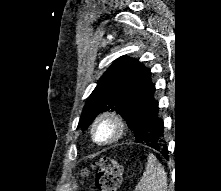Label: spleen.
Returning a JSON list of instances; mask_svg holds the SVG:
<instances>
[{
	"mask_svg": "<svg viewBox=\"0 0 221 191\" xmlns=\"http://www.w3.org/2000/svg\"><path fill=\"white\" fill-rule=\"evenodd\" d=\"M167 174L157 158L150 154L146 170L135 187V191H167Z\"/></svg>",
	"mask_w": 221,
	"mask_h": 191,
	"instance_id": "obj_1",
	"label": "spleen"
}]
</instances>
